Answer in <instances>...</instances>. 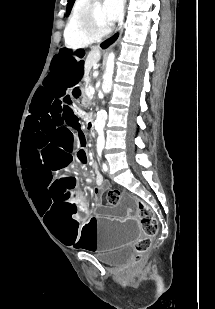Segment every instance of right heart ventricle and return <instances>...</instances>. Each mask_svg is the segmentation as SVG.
Here are the masks:
<instances>
[{"label": "right heart ventricle", "instance_id": "obj_1", "mask_svg": "<svg viewBox=\"0 0 215 309\" xmlns=\"http://www.w3.org/2000/svg\"><path fill=\"white\" fill-rule=\"evenodd\" d=\"M76 10H73L67 20V23L64 24V42L65 46L70 48H83L85 44L81 42H87L88 37L85 31H81V19H73ZM77 30V31H71Z\"/></svg>", "mask_w": 215, "mask_h": 309}]
</instances>
